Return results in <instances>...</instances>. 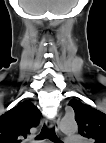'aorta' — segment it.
Segmentation results:
<instances>
[{"label": "aorta", "mask_w": 106, "mask_h": 143, "mask_svg": "<svg viewBox=\"0 0 106 143\" xmlns=\"http://www.w3.org/2000/svg\"><path fill=\"white\" fill-rule=\"evenodd\" d=\"M59 127L60 130L66 134H73L77 131V123L74 118L64 117Z\"/></svg>", "instance_id": "1"}]
</instances>
